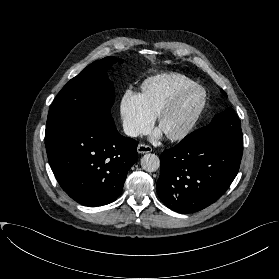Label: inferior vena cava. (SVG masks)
Listing matches in <instances>:
<instances>
[{"label":"inferior vena cava","mask_w":279,"mask_h":279,"mask_svg":"<svg viewBox=\"0 0 279 279\" xmlns=\"http://www.w3.org/2000/svg\"><path fill=\"white\" fill-rule=\"evenodd\" d=\"M123 129H124L125 134L128 136H131V137H137L140 134L139 129L130 124L124 125Z\"/></svg>","instance_id":"602c4592"}]
</instances>
